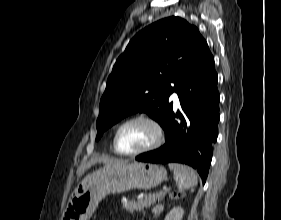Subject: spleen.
<instances>
[{"instance_id":"3e777b00","label":"spleen","mask_w":281,"mask_h":220,"mask_svg":"<svg viewBox=\"0 0 281 220\" xmlns=\"http://www.w3.org/2000/svg\"><path fill=\"white\" fill-rule=\"evenodd\" d=\"M169 169L173 171L179 190L183 191L197 185L198 175L191 167L179 163H169Z\"/></svg>"}]
</instances>
